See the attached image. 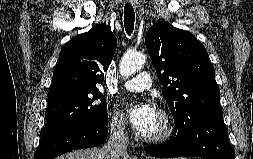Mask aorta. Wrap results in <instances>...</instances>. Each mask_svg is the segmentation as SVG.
Returning a JSON list of instances; mask_svg holds the SVG:
<instances>
[{"mask_svg": "<svg viewBox=\"0 0 253 159\" xmlns=\"http://www.w3.org/2000/svg\"><path fill=\"white\" fill-rule=\"evenodd\" d=\"M145 61L146 56L143 53L131 51L126 52L120 63V74L122 77H129L141 69V67L145 64Z\"/></svg>", "mask_w": 253, "mask_h": 159, "instance_id": "aorta-1", "label": "aorta"}]
</instances>
